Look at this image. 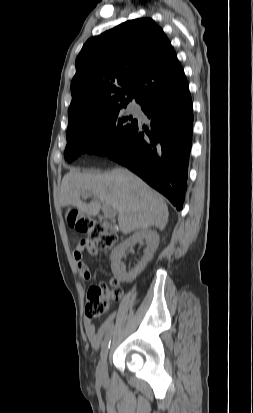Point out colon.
I'll use <instances>...</instances> for the list:
<instances>
[{"label":"colon","mask_w":253,"mask_h":413,"mask_svg":"<svg viewBox=\"0 0 253 413\" xmlns=\"http://www.w3.org/2000/svg\"><path fill=\"white\" fill-rule=\"evenodd\" d=\"M68 222L77 231L86 234L88 236L87 240L100 250L109 251L117 242L115 233L90 217L80 216L76 211L69 212ZM121 295L122 290L116 280L91 285L87 292V317L97 318L102 316L108 311L110 303L119 300Z\"/></svg>","instance_id":"obj_1"}]
</instances>
